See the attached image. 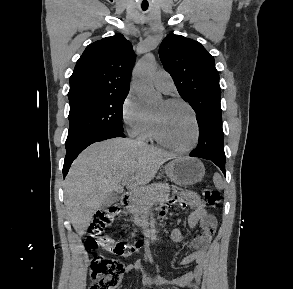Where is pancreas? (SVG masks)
Masks as SVG:
<instances>
[{
    "instance_id": "1",
    "label": "pancreas",
    "mask_w": 293,
    "mask_h": 289,
    "mask_svg": "<svg viewBox=\"0 0 293 289\" xmlns=\"http://www.w3.org/2000/svg\"><path fill=\"white\" fill-rule=\"evenodd\" d=\"M169 192V184L158 183L146 187L144 192L133 193L128 212L132 214L134 224L139 227H145L147 224L148 210L153 202L167 199Z\"/></svg>"
}]
</instances>
